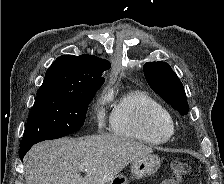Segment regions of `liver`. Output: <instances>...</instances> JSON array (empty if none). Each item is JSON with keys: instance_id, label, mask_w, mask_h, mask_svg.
I'll use <instances>...</instances> for the list:
<instances>
[{"instance_id": "liver-1", "label": "liver", "mask_w": 224, "mask_h": 184, "mask_svg": "<svg viewBox=\"0 0 224 184\" xmlns=\"http://www.w3.org/2000/svg\"><path fill=\"white\" fill-rule=\"evenodd\" d=\"M153 150L116 135L61 138L34 145L25 155L26 184H106ZM86 174L80 175L79 168Z\"/></svg>"}]
</instances>
